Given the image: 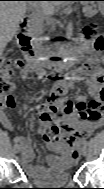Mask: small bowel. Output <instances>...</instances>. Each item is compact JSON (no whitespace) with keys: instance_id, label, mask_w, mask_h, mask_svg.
<instances>
[{"instance_id":"small-bowel-1","label":"small bowel","mask_w":104,"mask_h":189,"mask_svg":"<svg viewBox=\"0 0 104 189\" xmlns=\"http://www.w3.org/2000/svg\"><path fill=\"white\" fill-rule=\"evenodd\" d=\"M30 73H35L30 67H26L21 72V78L23 80L28 79ZM40 75V74H37ZM73 81H83L86 84V90L79 94L74 101H70L74 104V109L56 120V124L62 130L63 135L68 140V148L66 150H57L58 155L51 156L50 159L55 165H68L76 161L79 157L80 145L82 138L89 135L91 130L98 128L101 125L102 114L87 115L83 107L90 102L102 103V97L104 94L103 87L99 82L89 80L85 76V67L78 68L67 81L56 84L53 88L52 94L54 96H63L67 93L69 87ZM88 94L92 95V99H88ZM55 105H64L65 103L58 99L54 100ZM15 102L12 107H4L0 112V121L7 130L13 129V122L6 109H14ZM26 111V107H24ZM46 123L41 122L43 128ZM20 147L22 154V160L24 166L32 173H38L42 169L40 166L32 165V161L35 157L34 151L29 144L27 136H18L15 138Z\"/></svg>"}]
</instances>
